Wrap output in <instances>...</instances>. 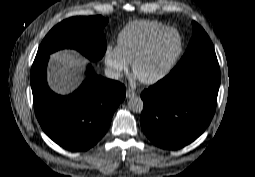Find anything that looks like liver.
<instances>
[{
    "mask_svg": "<svg viewBox=\"0 0 255 177\" xmlns=\"http://www.w3.org/2000/svg\"><path fill=\"white\" fill-rule=\"evenodd\" d=\"M86 60L72 50H62L51 55L48 65V83L59 94L75 90L84 79Z\"/></svg>",
    "mask_w": 255,
    "mask_h": 177,
    "instance_id": "1",
    "label": "liver"
}]
</instances>
